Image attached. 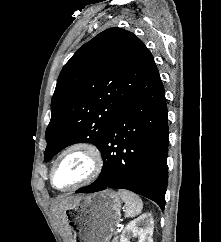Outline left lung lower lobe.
Here are the masks:
<instances>
[{
	"label": "left lung lower lobe",
	"instance_id": "0a47b994",
	"mask_svg": "<svg viewBox=\"0 0 221 242\" xmlns=\"http://www.w3.org/2000/svg\"><path fill=\"white\" fill-rule=\"evenodd\" d=\"M160 75L115 117L100 149L104 165L95 182L76 190L127 189L165 207L168 182V121Z\"/></svg>",
	"mask_w": 221,
	"mask_h": 242
}]
</instances>
